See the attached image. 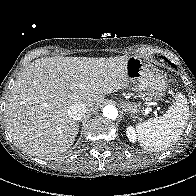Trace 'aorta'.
I'll return each instance as SVG.
<instances>
[{
  "label": "aorta",
  "mask_w": 196,
  "mask_h": 196,
  "mask_svg": "<svg viewBox=\"0 0 196 196\" xmlns=\"http://www.w3.org/2000/svg\"><path fill=\"white\" fill-rule=\"evenodd\" d=\"M103 115L108 119L115 120L118 116V110L114 105L108 104L103 108Z\"/></svg>",
  "instance_id": "762f6f07"
}]
</instances>
